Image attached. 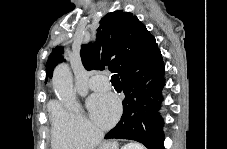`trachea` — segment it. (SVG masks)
<instances>
[{"label":"trachea","instance_id":"obj_1","mask_svg":"<svg viewBox=\"0 0 227 149\" xmlns=\"http://www.w3.org/2000/svg\"><path fill=\"white\" fill-rule=\"evenodd\" d=\"M111 83H112L113 85H118V84L121 83V82H120V79H119V76H118L117 74H113V75L111 76Z\"/></svg>","mask_w":227,"mask_h":149}]
</instances>
